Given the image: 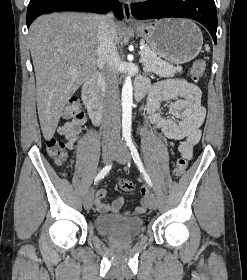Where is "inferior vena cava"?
Returning a JSON list of instances; mask_svg holds the SVG:
<instances>
[{
	"label": "inferior vena cava",
	"mask_w": 247,
	"mask_h": 280,
	"mask_svg": "<svg viewBox=\"0 0 247 280\" xmlns=\"http://www.w3.org/2000/svg\"><path fill=\"white\" fill-rule=\"evenodd\" d=\"M98 67L106 80L104 141L114 142L120 133V98L118 87L119 55L116 48V28L113 14L102 15L98 25Z\"/></svg>",
	"instance_id": "1"
}]
</instances>
